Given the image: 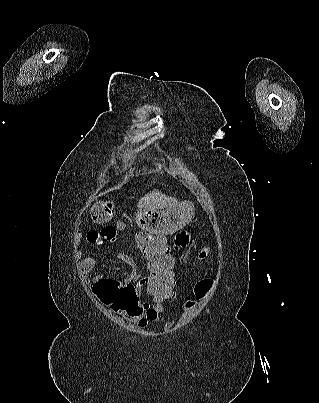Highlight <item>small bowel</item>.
Wrapping results in <instances>:
<instances>
[{"instance_id": "c3829d8e", "label": "small bowel", "mask_w": 319, "mask_h": 403, "mask_svg": "<svg viewBox=\"0 0 319 403\" xmlns=\"http://www.w3.org/2000/svg\"><path fill=\"white\" fill-rule=\"evenodd\" d=\"M125 230L123 223L102 224L101 229H88L84 232L87 245L91 249H111L112 253H118L119 247L114 246V238H119ZM192 237L189 232L180 230L172 238L175 248L184 250L190 246ZM167 252V249H165ZM207 253L200 259H204ZM122 260L132 263L127 256ZM173 259V257H172ZM96 261L93 256H86L78 262V270L82 277H87L95 268ZM150 269V268H149ZM125 279L104 278L102 274H95L91 279V296L103 306V309H111L112 315H118L119 319H130L139 328H145L149 323L156 322L164 311L163 304L143 303L137 295L140 289L145 288L147 277L139 278L136 271ZM146 289V288H145ZM174 294V290H173Z\"/></svg>"}]
</instances>
